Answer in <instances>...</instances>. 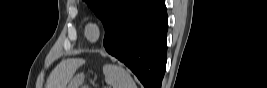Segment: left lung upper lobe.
Returning a JSON list of instances; mask_svg holds the SVG:
<instances>
[{
    "instance_id": "left-lung-upper-lobe-1",
    "label": "left lung upper lobe",
    "mask_w": 267,
    "mask_h": 88,
    "mask_svg": "<svg viewBox=\"0 0 267 88\" xmlns=\"http://www.w3.org/2000/svg\"><path fill=\"white\" fill-rule=\"evenodd\" d=\"M101 19L106 31L116 22L119 16L137 0H84Z\"/></svg>"
}]
</instances>
